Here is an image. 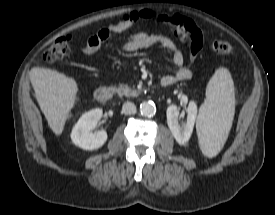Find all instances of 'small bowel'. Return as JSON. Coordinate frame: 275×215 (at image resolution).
<instances>
[{
    "mask_svg": "<svg viewBox=\"0 0 275 215\" xmlns=\"http://www.w3.org/2000/svg\"><path fill=\"white\" fill-rule=\"evenodd\" d=\"M128 27L129 23L124 21H119L107 25L106 27L101 29L99 33L92 36L87 41L86 45L83 48V53L89 56L101 48H109L110 46L106 43V41L111 37V35L114 33L123 32L128 29ZM153 45H161L172 55L173 62L177 66V70L175 74L166 75L162 78V80H168L172 84L177 81H186L191 78V64L196 60L202 48L203 36L202 33L197 29L196 34L192 38L188 64L185 63L184 56L176 43L163 34L137 32L134 35L130 36L122 44L121 49L124 52L131 53Z\"/></svg>",
    "mask_w": 275,
    "mask_h": 215,
    "instance_id": "c3829d8e",
    "label": "small bowel"
}]
</instances>
